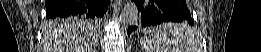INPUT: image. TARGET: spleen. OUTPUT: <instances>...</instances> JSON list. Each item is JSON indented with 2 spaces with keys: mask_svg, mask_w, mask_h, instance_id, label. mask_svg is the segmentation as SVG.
<instances>
[{
  "mask_svg": "<svg viewBox=\"0 0 261 52\" xmlns=\"http://www.w3.org/2000/svg\"><path fill=\"white\" fill-rule=\"evenodd\" d=\"M185 30L187 35L177 37V33ZM191 32L184 23H167L145 31L141 44L145 52H195L196 44L189 37Z\"/></svg>",
  "mask_w": 261,
  "mask_h": 52,
  "instance_id": "1",
  "label": "spleen"
}]
</instances>
